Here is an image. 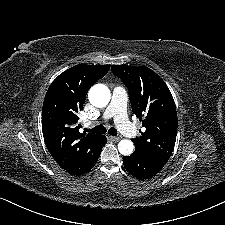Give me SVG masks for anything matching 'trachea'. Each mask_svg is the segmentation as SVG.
<instances>
[{
	"label": "trachea",
	"mask_w": 225,
	"mask_h": 225,
	"mask_svg": "<svg viewBox=\"0 0 225 225\" xmlns=\"http://www.w3.org/2000/svg\"><path fill=\"white\" fill-rule=\"evenodd\" d=\"M88 131L92 133H97V134H104L106 133V128L103 125H98L92 129H88ZM108 134L116 136L117 130L114 127H112L108 130Z\"/></svg>",
	"instance_id": "3493384b"
}]
</instances>
